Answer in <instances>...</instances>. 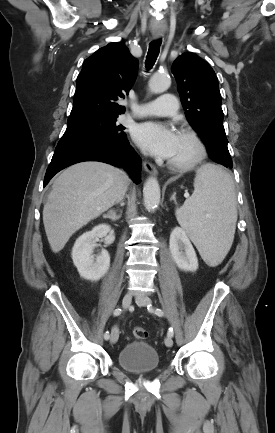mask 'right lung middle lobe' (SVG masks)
<instances>
[{"label": "right lung middle lobe", "instance_id": "1", "mask_svg": "<svg viewBox=\"0 0 275 433\" xmlns=\"http://www.w3.org/2000/svg\"><path fill=\"white\" fill-rule=\"evenodd\" d=\"M118 116L86 115L68 119V127L58 145L71 143H108L126 138Z\"/></svg>", "mask_w": 275, "mask_h": 433}]
</instances>
